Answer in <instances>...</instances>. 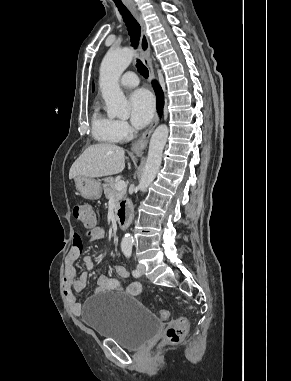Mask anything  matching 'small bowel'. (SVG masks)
Returning a JSON list of instances; mask_svg holds the SVG:
<instances>
[{
  "label": "small bowel",
  "instance_id": "small-bowel-1",
  "mask_svg": "<svg viewBox=\"0 0 291 381\" xmlns=\"http://www.w3.org/2000/svg\"><path fill=\"white\" fill-rule=\"evenodd\" d=\"M88 238L90 241H99L104 238V231L100 227L93 228L88 233ZM81 254V242L79 237H77L73 243L72 248L66 256L64 277L62 283L63 295L70 307L73 314L79 315L82 312V305L77 301L75 293L83 292L87 285V277L82 274L77 278L76 272V262ZM83 263L86 267L92 265V261L88 257L83 258ZM116 274L123 279L129 277V273L126 268L122 265H116L114 267ZM142 286L137 281L129 282L125 287L122 286L117 280L110 279L107 276H100L97 280L96 292H106V291H116L125 292L128 295L136 296L141 292Z\"/></svg>",
  "mask_w": 291,
  "mask_h": 381
}]
</instances>
